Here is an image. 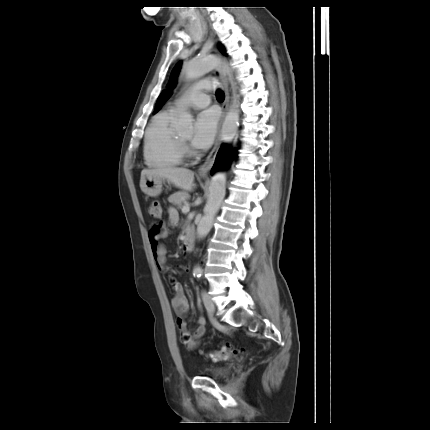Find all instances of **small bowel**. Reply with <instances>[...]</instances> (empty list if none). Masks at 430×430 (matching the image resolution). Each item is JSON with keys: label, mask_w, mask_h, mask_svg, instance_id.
<instances>
[{"label": "small bowel", "mask_w": 430, "mask_h": 430, "mask_svg": "<svg viewBox=\"0 0 430 430\" xmlns=\"http://www.w3.org/2000/svg\"><path fill=\"white\" fill-rule=\"evenodd\" d=\"M179 217L175 209H169V224L175 226L178 224ZM167 236V228L164 224H153L149 229V243L155 264L160 271H166V248L161 243V240ZM187 269V268H186ZM172 308L177 314L176 324L181 331V342L187 350H195L200 342V339L205 334L204 317H199L197 320V328L193 332L187 330V322L185 315L189 311V304L185 295L184 289L180 284H174V296L171 300Z\"/></svg>", "instance_id": "c3829d8e"}]
</instances>
